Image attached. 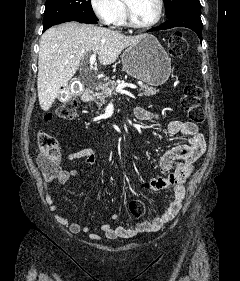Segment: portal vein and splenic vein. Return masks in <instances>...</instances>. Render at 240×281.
<instances>
[{
	"instance_id": "obj_1",
	"label": "portal vein and splenic vein",
	"mask_w": 240,
	"mask_h": 281,
	"mask_svg": "<svg viewBox=\"0 0 240 281\" xmlns=\"http://www.w3.org/2000/svg\"><path fill=\"white\" fill-rule=\"evenodd\" d=\"M96 62V55L95 54H92L89 58V64H90V67H93V65L95 64ZM125 87H130V88H135L133 85L131 84H127V83H122V84H119L117 87H116V92L117 93H124L125 90H123V88ZM109 95H111V92L109 91Z\"/></svg>"
}]
</instances>
